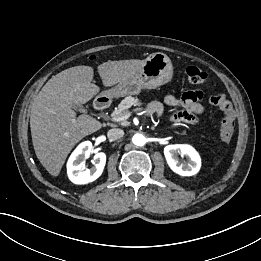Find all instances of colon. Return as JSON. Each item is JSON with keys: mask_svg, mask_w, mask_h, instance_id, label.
<instances>
[{"mask_svg": "<svg viewBox=\"0 0 261 261\" xmlns=\"http://www.w3.org/2000/svg\"><path fill=\"white\" fill-rule=\"evenodd\" d=\"M186 75L192 84H201L207 78V73L196 66L186 68ZM210 103L218 106L223 117L220 124V139L222 143L228 144L232 139L235 127L234 110L231 102L222 93H214L209 97Z\"/></svg>", "mask_w": 261, "mask_h": 261, "instance_id": "obj_1", "label": "colon"}]
</instances>
